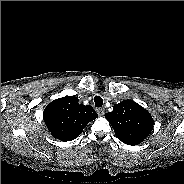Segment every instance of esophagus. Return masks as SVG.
Returning <instances> with one entry per match:
<instances>
[{
  "label": "esophagus",
  "mask_w": 184,
  "mask_h": 184,
  "mask_svg": "<svg viewBox=\"0 0 184 184\" xmlns=\"http://www.w3.org/2000/svg\"><path fill=\"white\" fill-rule=\"evenodd\" d=\"M96 112L100 115L103 116L104 115V109L103 108H97Z\"/></svg>",
  "instance_id": "1"
}]
</instances>
